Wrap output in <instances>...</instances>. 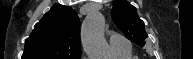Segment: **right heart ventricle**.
Segmentation results:
<instances>
[{
    "label": "right heart ventricle",
    "mask_w": 193,
    "mask_h": 59,
    "mask_svg": "<svg viewBox=\"0 0 193 59\" xmlns=\"http://www.w3.org/2000/svg\"><path fill=\"white\" fill-rule=\"evenodd\" d=\"M119 59H132L133 55L131 50L129 51H115Z\"/></svg>",
    "instance_id": "obj_1"
}]
</instances>
